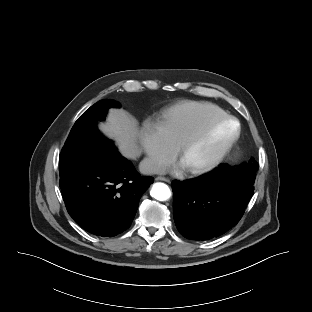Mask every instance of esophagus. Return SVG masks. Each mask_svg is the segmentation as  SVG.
Instances as JSON below:
<instances>
[{
    "mask_svg": "<svg viewBox=\"0 0 312 312\" xmlns=\"http://www.w3.org/2000/svg\"><path fill=\"white\" fill-rule=\"evenodd\" d=\"M155 180H157V181H164V182H167V183H170V182H171L169 178L161 177V176L156 177Z\"/></svg>",
    "mask_w": 312,
    "mask_h": 312,
    "instance_id": "1",
    "label": "esophagus"
}]
</instances>
